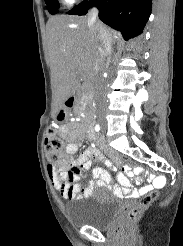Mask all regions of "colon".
<instances>
[{"label":"colon","mask_w":183,"mask_h":246,"mask_svg":"<svg viewBox=\"0 0 183 246\" xmlns=\"http://www.w3.org/2000/svg\"><path fill=\"white\" fill-rule=\"evenodd\" d=\"M62 148H63V143L61 139L56 134L55 130L50 128L45 136L46 156L49 164L57 169L63 167L66 164V160H67V158L62 153ZM118 160H121L122 162H126V165H133L134 167L138 166V163L135 162V160H132L131 157H127V155H118ZM139 168L143 169L144 165L140 164ZM146 171L150 172L151 168L147 167ZM157 196H158L157 191H151L150 193L145 195L135 207L124 213L122 217V223L130 224L134 222L142 213V211H144L148 206H150L155 201Z\"/></svg>","instance_id":"colon-1"}]
</instances>
